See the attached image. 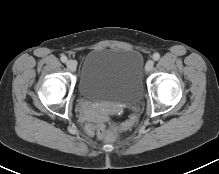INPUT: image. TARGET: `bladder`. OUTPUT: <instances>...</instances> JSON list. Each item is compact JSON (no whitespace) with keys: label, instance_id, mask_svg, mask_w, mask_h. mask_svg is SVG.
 <instances>
[{"label":"bladder","instance_id":"31cf9c89","mask_svg":"<svg viewBox=\"0 0 219 174\" xmlns=\"http://www.w3.org/2000/svg\"><path fill=\"white\" fill-rule=\"evenodd\" d=\"M143 57L135 49L96 48L82 62L79 96L92 102L137 105L143 95Z\"/></svg>","mask_w":219,"mask_h":174}]
</instances>
